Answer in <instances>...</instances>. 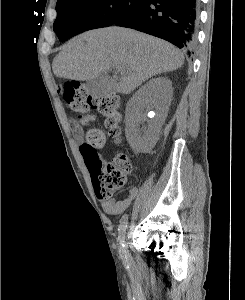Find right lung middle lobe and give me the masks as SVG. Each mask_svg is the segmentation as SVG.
Here are the masks:
<instances>
[{
	"label": "right lung middle lobe",
	"instance_id": "right-lung-middle-lobe-1",
	"mask_svg": "<svg viewBox=\"0 0 245 300\" xmlns=\"http://www.w3.org/2000/svg\"><path fill=\"white\" fill-rule=\"evenodd\" d=\"M148 0H58L53 29L66 39L83 31L107 27L120 21Z\"/></svg>",
	"mask_w": 245,
	"mask_h": 300
}]
</instances>
